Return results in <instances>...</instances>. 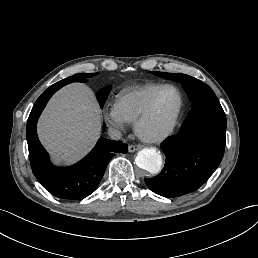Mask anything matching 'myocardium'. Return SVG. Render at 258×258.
Returning a JSON list of instances; mask_svg holds the SVG:
<instances>
[{"label":"myocardium","instance_id":"f54148a6","mask_svg":"<svg viewBox=\"0 0 258 258\" xmlns=\"http://www.w3.org/2000/svg\"><path fill=\"white\" fill-rule=\"evenodd\" d=\"M173 90L176 93L177 96V109L174 115V118L171 122V124L169 125V127L162 132L161 134L157 135V136H148L146 134H144L141 131V123L142 121L150 114L151 110H152V106L154 104V101L156 99V97L158 96V94L164 90ZM181 108H182V98H181V94L179 93V91L172 85H162L160 86L148 99L145 107L143 108V110L140 112V114L138 115L137 119L135 120L134 123V130L135 133L137 134V136L146 142H161L165 139H167L175 130V127L177 125L178 119H179V115L181 112Z\"/></svg>","mask_w":258,"mask_h":258}]
</instances>
